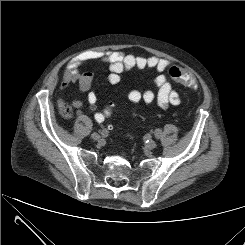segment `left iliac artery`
<instances>
[{
  "label": "left iliac artery",
  "instance_id": "44dca946",
  "mask_svg": "<svg viewBox=\"0 0 245 245\" xmlns=\"http://www.w3.org/2000/svg\"><path fill=\"white\" fill-rule=\"evenodd\" d=\"M160 136H161V130H156V131H155V137H156L157 139H159Z\"/></svg>",
  "mask_w": 245,
  "mask_h": 245
}]
</instances>
